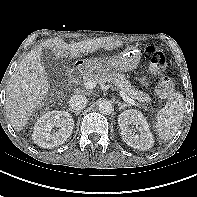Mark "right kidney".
Instances as JSON below:
<instances>
[{
	"label": "right kidney",
	"mask_w": 197,
	"mask_h": 197,
	"mask_svg": "<svg viewBox=\"0 0 197 197\" xmlns=\"http://www.w3.org/2000/svg\"><path fill=\"white\" fill-rule=\"evenodd\" d=\"M73 127L74 120L67 111H49L37 120L32 138L42 148L56 147L70 137Z\"/></svg>",
	"instance_id": "right-kidney-1"
}]
</instances>
